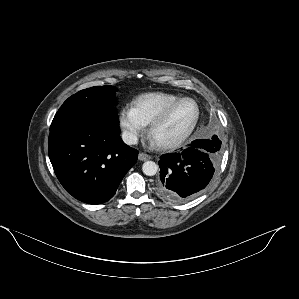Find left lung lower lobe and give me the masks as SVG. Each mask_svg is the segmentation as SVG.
Listing matches in <instances>:
<instances>
[{
    "label": "left lung lower lobe",
    "mask_w": 299,
    "mask_h": 299,
    "mask_svg": "<svg viewBox=\"0 0 299 299\" xmlns=\"http://www.w3.org/2000/svg\"><path fill=\"white\" fill-rule=\"evenodd\" d=\"M221 157L212 140L192 141L178 153L163 155L159 161L158 193L174 203H183L201 194L211 183Z\"/></svg>",
    "instance_id": "left-lung-lower-lobe-1"
}]
</instances>
